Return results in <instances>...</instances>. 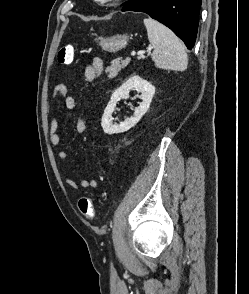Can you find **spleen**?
I'll use <instances>...</instances> for the list:
<instances>
[{
	"instance_id": "spleen-1",
	"label": "spleen",
	"mask_w": 249,
	"mask_h": 294,
	"mask_svg": "<svg viewBox=\"0 0 249 294\" xmlns=\"http://www.w3.org/2000/svg\"><path fill=\"white\" fill-rule=\"evenodd\" d=\"M148 39L154 48L151 58L156 67L174 71H184L188 58L180 39L165 25L147 18L144 19Z\"/></svg>"
}]
</instances>
